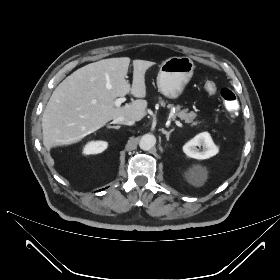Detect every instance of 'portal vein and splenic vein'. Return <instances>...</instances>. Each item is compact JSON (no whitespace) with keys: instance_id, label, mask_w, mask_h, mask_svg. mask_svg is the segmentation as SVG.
I'll use <instances>...</instances> for the list:
<instances>
[{"instance_id":"1","label":"portal vein and splenic vein","mask_w":280,"mask_h":280,"mask_svg":"<svg viewBox=\"0 0 280 280\" xmlns=\"http://www.w3.org/2000/svg\"><path fill=\"white\" fill-rule=\"evenodd\" d=\"M125 101H126V98H124V97H122V98H117V99L115 100L114 104H115V106L119 107V106H121V104H122L123 102H125ZM175 124H176L178 127H180V128L183 127V124H182L180 121H178V120H175Z\"/></svg>"}]
</instances>
